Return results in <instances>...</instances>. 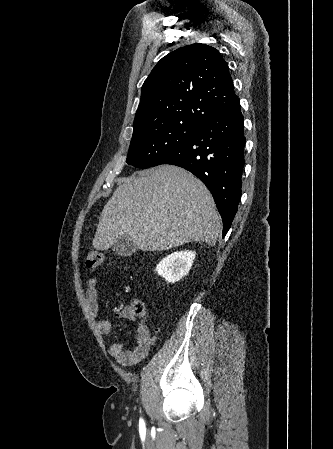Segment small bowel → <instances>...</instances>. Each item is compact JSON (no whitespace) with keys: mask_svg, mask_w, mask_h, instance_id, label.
<instances>
[{"mask_svg":"<svg viewBox=\"0 0 333 449\" xmlns=\"http://www.w3.org/2000/svg\"><path fill=\"white\" fill-rule=\"evenodd\" d=\"M87 306L90 315L96 320V326L100 334L107 335L112 330L111 322L106 318L99 317V290L97 278H91L86 285ZM121 319L134 320L131 308L125 307L117 313ZM156 338L150 333L147 326H140L136 330L135 345L126 349L120 342L109 345L108 353L121 365L130 366L142 361L151 351Z\"/></svg>","mask_w":333,"mask_h":449,"instance_id":"c3829d8e","label":"small bowel"}]
</instances>
